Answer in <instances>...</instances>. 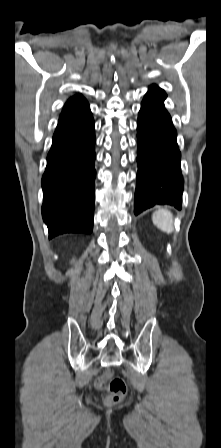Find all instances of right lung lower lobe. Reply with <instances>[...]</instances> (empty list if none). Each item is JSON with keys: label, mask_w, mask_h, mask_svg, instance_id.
<instances>
[{"label": "right lung lower lobe", "mask_w": 221, "mask_h": 448, "mask_svg": "<svg viewBox=\"0 0 221 448\" xmlns=\"http://www.w3.org/2000/svg\"><path fill=\"white\" fill-rule=\"evenodd\" d=\"M94 120L81 96L63 107L42 177V216L49 238L91 233L94 213Z\"/></svg>", "instance_id": "98d812e1"}]
</instances>
